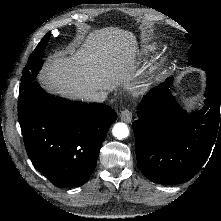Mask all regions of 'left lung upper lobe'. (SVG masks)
<instances>
[{
  "label": "left lung upper lobe",
  "mask_w": 221,
  "mask_h": 221,
  "mask_svg": "<svg viewBox=\"0 0 221 221\" xmlns=\"http://www.w3.org/2000/svg\"><path fill=\"white\" fill-rule=\"evenodd\" d=\"M185 37L193 44L188 54L189 63L194 67L202 68L204 71L212 70L210 62L202 48L193 42L190 36L186 35Z\"/></svg>",
  "instance_id": "1"
}]
</instances>
